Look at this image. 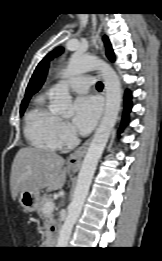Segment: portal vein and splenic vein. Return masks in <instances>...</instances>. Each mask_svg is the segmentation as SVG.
<instances>
[{
	"instance_id": "1",
	"label": "portal vein and splenic vein",
	"mask_w": 162,
	"mask_h": 261,
	"mask_svg": "<svg viewBox=\"0 0 162 261\" xmlns=\"http://www.w3.org/2000/svg\"><path fill=\"white\" fill-rule=\"evenodd\" d=\"M55 208V204L52 201H49L44 206L45 213H52Z\"/></svg>"
}]
</instances>
